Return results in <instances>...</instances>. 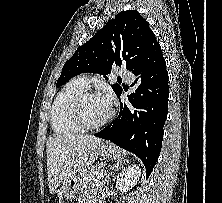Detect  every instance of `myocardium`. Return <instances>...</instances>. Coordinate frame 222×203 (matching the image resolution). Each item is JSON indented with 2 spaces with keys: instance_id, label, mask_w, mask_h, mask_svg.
Wrapping results in <instances>:
<instances>
[{
  "instance_id": "obj_1",
  "label": "myocardium",
  "mask_w": 222,
  "mask_h": 203,
  "mask_svg": "<svg viewBox=\"0 0 222 203\" xmlns=\"http://www.w3.org/2000/svg\"><path fill=\"white\" fill-rule=\"evenodd\" d=\"M97 96H100V95L95 92H86L85 91L77 97V99L75 100V102L73 104L72 113H73L74 120L82 130L89 131V130L99 129V128L103 127L107 122H109L114 115L113 110L110 109L109 114L103 120H101L97 123H89L85 119V116L83 113V105H84L85 100L87 98L97 97Z\"/></svg>"
}]
</instances>
